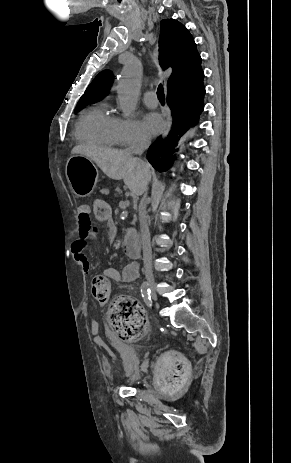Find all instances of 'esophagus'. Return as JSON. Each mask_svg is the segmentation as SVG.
Instances as JSON below:
<instances>
[{
	"label": "esophagus",
	"instance_id": "34e87169",
	"mask_svg": "<svg viewBox=\"0 0 291 463\" xmlns=\"http://www.w3.org/2000/svg\"><path fill=\"white\" fill-rule=\"evenodd\" d=\"M169 128H170V125H168L167 129L164 131L163 135H167L168 131H169Z\"/></svg>",
	"mask_w": 291,
	"mask_h": 463
}]
</instances>
